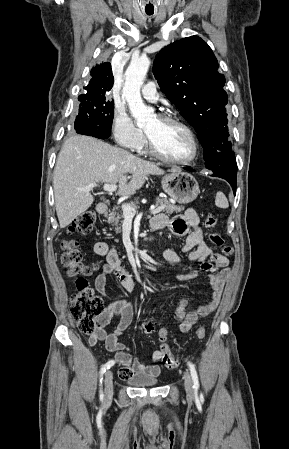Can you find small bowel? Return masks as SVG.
I'll return each mask as SVG.
<instances>
[{"instance_id": "obj_1", "label": "small bowel", "mask_w": 289, "mask_h": 449, "mask_svg": "<svg viewBox=\"0 0 289 449\" xmlns=\"http://www.w3.org/2000/svg\"><path fill=\"white\" fill-rule=\"evenodd\" d=\"M151 225L161 229L168 227L170 232L178 237L186 236L182 251L187 254L189 261L197 262L201 268L210 272L208 278L211 285V298L203 306L187 311L188 300L181 299L176 306V317L179 321L181 332L189 331L196 322L211 314L218 306L224 285L230 276L229 260L221 254L213 253L204 239L203 229L199 217L193 209H187L183 215L176 216L168 220L164 214L156 215ZM94 252L106 258L100 273L95 278V289L102 295H106V283L109 275H114L121 286L127 292L135 289V280L131 273L122 265L120 257L115 249H110L105 242H97L94 245ZM163 258L172 264L181 262V257L172 249L166 248L162 252ZM198 275L197 271L181 273L175 275L177 280H189ZM113 316H119L120 321L116 328L107 333L104 327L110 322ZM134 316L133 306L127 299H118L111 302L104 310L99 326L95 333L89 337V344L95 345L103 341L106 349L114 353V362L122 365L119 376L123 380H129L135 374H147L157 376L161 372V367L154 363L161 360V353L155 350L151 356L152 364H145L137 357H133L129 347L119 341L121 334L130 326Z\"/></svg>"}]
</instances>
